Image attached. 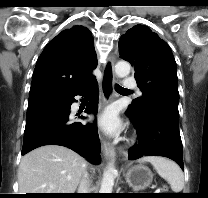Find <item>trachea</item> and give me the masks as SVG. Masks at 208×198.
Segmentation results:
<instances>
[{
	"label": "trachea",
	"instance_id": "3493384b",
	"mask_svg": "<svg viewBox=\"0 0 208 198\" xmlns=\"http://www.w3.org/2000/svg\"><path fill=\"white\" fill-rule=\"evenodd\" d=\"M116 90L124 91V90H127V89L121 87L120 85H116Z\"/></svg>",
	"mask_w": 208,
	"mask_h": 198
}]
</instances>
